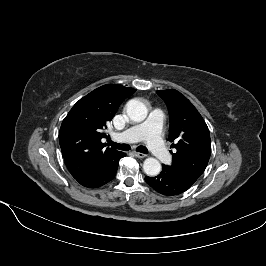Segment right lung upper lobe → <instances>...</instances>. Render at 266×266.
I'll list each match as a JSON object with an SVG mask.
<instances>
[{
  "mask_svg": "<svg viewBox=\"0 0 266 266\" xmlns=\"http://www.w3.org/2000/svg\"><path fill=\"white\" fill-rule=\"evenodd\" d=\"M135 92L119 84L103 85L81 98L64 118L59 142L71 175L78 182L105 168L121 152L105 148L104 130L125 98Z\"/></svg>",
  "mask_w": 266,
  "mask_h": 266,
  "instance_id": "obj_1",
  "label": "right lung upper lobe"
}]
</instances>
